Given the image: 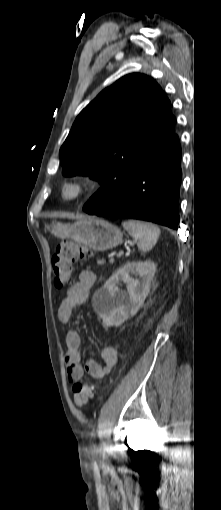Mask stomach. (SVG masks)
I'll return each mask as SVG.
<instances>
[{
	"label": "stomach",
	"mask_w": 221,
	"mask_h": 510,
	"mask_svg": "<svg viewBox=\"0 0 221 510\" xmlns=\"http://www.w3.org/2000/svg\"><path fill=\"white\" fill-rule=\"evenodd\" d=\"M48 230L58 238L72 239L94 251H105L123 242V233L117 226L97 218L82 219L73 224L52 222Z\"/></svg>",
	"instance_id": "stomach-1"
}]
</instances>
